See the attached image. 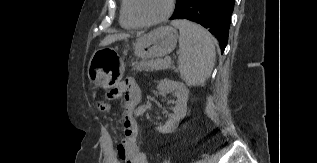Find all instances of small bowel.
Segmentation results:
<instances>
[{"label": "small bowel", "mask_w": 317, "mask_h": 163, "mask_svg": "<svg viewBox=\"0 0 317 163\" xmlns=\"http://www.w3.org/2000/svg\"><path fill=\"white\" fill-rule=\"evenodd\" d=\"M116 93L124 97L123 139L115 145L110 134L104 137L102 163H148L137 142L136 119L143 113L140 88L133 79H126Z\"/></svg>", "instance_id": "small-bowel-1"}]
</instances>
